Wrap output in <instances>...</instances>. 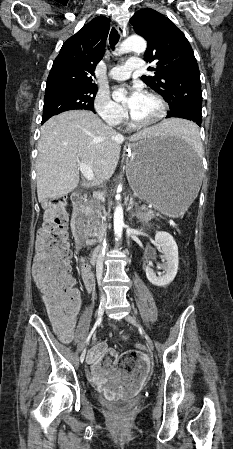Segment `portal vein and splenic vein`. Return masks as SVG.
Instances as JSON below:
<instances>
[{
    "label": "portal vein and splenic vein",
    "instance_id": "portal-vein-and-splenic-vein-1",
    "mask_svg": "<svg viewBox=\"0 0 233 449\" xmlns=\"http://www.w3.org/2000/svg\"><path fill=\"white\" fill-rule=\"evenodd\" d=\"M78 169L82 172L84 177L88 180L94 179V174L90 164L78 162ZM152 211V210H151Z\"/></svg>",
    "mask_w": 233,
    "mask_h": 449
}]
</instances>
